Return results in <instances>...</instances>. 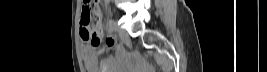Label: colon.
<instances>
[{"label":"colon","mask_w":267,"mask_h":72,"mask_svg":"<svg viewBox=\"0 0 267 72\" xmlns=\"http://www.w3.org/2000/svg\"><path fill=\"white\" fill-rule=\"evenodd\" d=\"M102 9L97 1H84L81 13V36L94 47H102L103 33L101 30Z\"/></svg>","instance_id":"obj_1"}]
</instances>
